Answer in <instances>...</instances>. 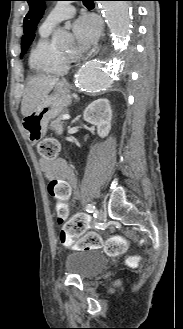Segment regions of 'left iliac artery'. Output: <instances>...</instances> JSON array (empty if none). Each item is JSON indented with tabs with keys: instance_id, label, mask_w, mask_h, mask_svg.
I'll use <instances>...</instances> for the list:
<instances>
[{
	"instance_id": "left-iliac-artery-1",
	"label": "left iliac artery",
	"mask_w": 183,
	"mask_h": 329,
	"mask_svg": "<svg viewBox=\"0 0 183 329\" xmlns=\"http://www.w3.org/2000/svg\"><path fill=\"white\" fill-rule=\"evenodd\" d=\"M86 211L89 213H95L96 212V207L93 204H88L86 206Z\"/></svg>"
}]
</instances>
